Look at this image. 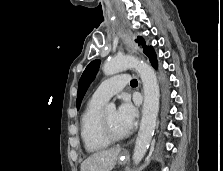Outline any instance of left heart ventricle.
Here are the masks:
<instances>
[{"instance_id": "obj_1", "label": "left heart ventricle", "mask_w": 223, "mask_h": 171, "mask_svg": "<svg viewBox=\"0 0 223 171\" xmlns=\"http://www.w3.org/2000/svg\"><path fill=\"white\" fill-rule=\"evenodd\" d=\"M107 124L111 132L116 135H124L126 134L125 131L119 126L117 119H116V111L114 110H109L104 113Z\"/></svg>"}]
</instances>
